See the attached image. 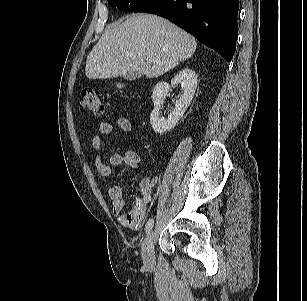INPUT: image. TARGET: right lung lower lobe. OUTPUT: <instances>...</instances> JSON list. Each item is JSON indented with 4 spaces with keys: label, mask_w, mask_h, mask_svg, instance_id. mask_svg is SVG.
Masks as SVG:
<instances>
[{
    "label": "right lung lower lobe",
    "mask_w": 307,
    "mask_h": 301,
    "mask_svg": "<svg viewBox=\"0 0 307 301\" xmlns=\"http://www.w3.org/2000/svg\"><path fill=\"white\" fill-rule=\"evenodd\" d=\"M239 0H156L140 12L169 19L231 61L238 34Z\"/></svg>",
    "instance_id": "98d812e1"
}]
</instances>
